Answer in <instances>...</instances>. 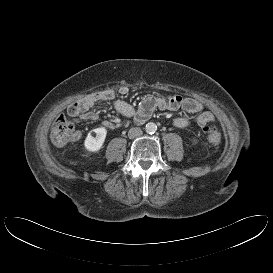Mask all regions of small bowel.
<instances>
[{"mask_svg":"<svg viewBox=\"0 0 273 273\" xmlns=\"http://www.w3.org/2000/svg\"><path fill=\"white\" fill-rule=\"evenodd\" d=\"M128 91L127 87L120 89L121 94H127ZM102 101H111L118 113L125 117L133 118L137 123L146 121L156 109L171 111L180 109L188 114L199 113L195 122L202 128H205L207 124L215 120L213 113L203 111V105L193 98H182L173 95L167 99H162L155 96H148L135 108L123 100L115 99V93L111 90L90 94L73 103L68 108V114L77 121H95L97 115L91 111V108L94 104ZM105 125L110 127L111 123H105ZM174 125L179 128H184L190 125V120L187 117H178L174 119ZM80 137L81 133H76V139Z\"/></svg>","mask_w":273,"mask_h":273,"instance_id":"obj_1","label":"small bowel"}]
</instances>
